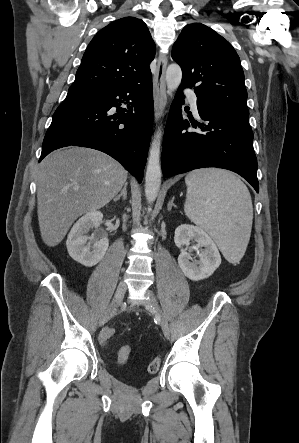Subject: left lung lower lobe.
<instances>
[{
	"mask_svg": "<svg viewBox=\"0 0 299 443\" xmlns=\"http://www.w3.org/2000/svg\"><path fill=\"white\" fill-rule=\"evenodd\" d=\"M180 85L167 120L162 171L165 177L204 167H218L238 173L259 192L257 159L249 117L209 108L197 101L201 122L191 121L189 131L182 118L184 95Z\"/></svg>",
	"mask_w": 299,
	"mask_h": 443,
	"instance_id": "0a47b994",
	"label": "left lung lower lobe"
}]
</instances>
